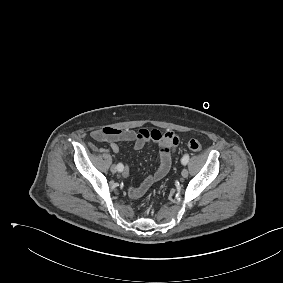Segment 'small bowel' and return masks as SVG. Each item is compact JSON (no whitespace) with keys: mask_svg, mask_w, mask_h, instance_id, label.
<instances>
[{"mask_svg":"<svg viewBox=\"0 0 283 283\" xmlns=\"http://www.w3.org/2000/svg\"><path fill=\"white\" fill-rule=\"evenodd\" d=\"M94 140L108 142L111 150L119 152V142H133L136 150L142 149L147 143L155 142L159 145V165L155 172L145 178L138 187H129L128 195L132 199H138L157 181L161 180L169 171L172 156L178 144V135L172 131L161 132L159 130L139 129H116L104 127L91 133ZM124 176H129V168L125 166Z\"/></svg>","mask_w":283,"mask_h":283,"instance_id":"1","label":"small bowel"}]
</instances>
